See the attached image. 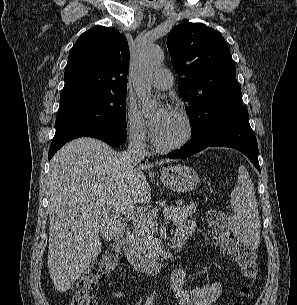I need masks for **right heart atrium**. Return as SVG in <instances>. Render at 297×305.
Segmentation results:
<instances>
[{"label":"right heart atrium","instance_id":"obj_1","mask_svg":"<svg viewBox=\"0 0 297 305\" xmlns=\"http://www.w3.org/2000/svg\"><path fill=\"white\" fill-rule=\"evenodd\" d=\"M124 129L128 140L137 147L144 146L148 132L142 116L131 103L127 102L124 113Z\"/></svg>","mask_w":297,"mask_h":305}]
</instances>
